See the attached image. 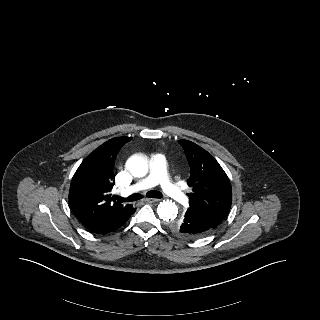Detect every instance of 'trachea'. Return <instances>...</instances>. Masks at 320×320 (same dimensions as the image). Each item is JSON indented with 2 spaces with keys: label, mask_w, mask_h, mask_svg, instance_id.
Returning a JSON list of instances; mask_svg holds the SVG:
<instances>
[{
  "label": "trachea",
  "mask_w": 320,
  "mask_h": 320,
  "mask_svg": "<svg viewBox=\"0 0 320 320\" xmlns=\"http://www.w3.org/2000/svg\"><path fill=\"white\" fill-rule=\"evenodd\" d=\"M146 196L150 197V198H162L163 197L161 192L155 191V190L147 192ZM141 198H142V196L138 193L132 194L127 198H122L120 196L117 197V199L120 202H134V201L140 200Z\"/></svg>",
  "instance_id": "obj_1"
}]
</instances>
